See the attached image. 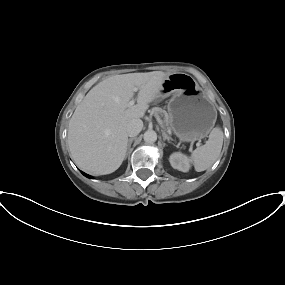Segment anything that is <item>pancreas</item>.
Instances as JSON below:
<instances>
[{"label": "pancreas", "instance_id": "obj_1", "mask_svg": "<svg viewBox=\"0 0 285 285\" xmlns=\"http://www.w3.org/2000/svg\"><path fill=\"white\" fill-rule=\"evenodd\" d=\"M152 110L155 114H157V115L159 114L161 116H164L163 123H164V125L168 126L169 121H168V117H167L165 111L159 107H154Z\"/></svg>", "mask_w": 285, "mask_h": 285}]
</instances>
